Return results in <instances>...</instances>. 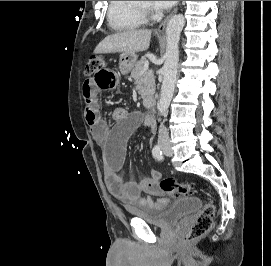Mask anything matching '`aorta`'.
Instances as JSON below:
<instances>
[{
  "instance_id": "1",
  "label": "aorta",
  "mask_w": 271,
  "mask_h": 266,
  "mask_svg": "<svg viewBox=\"0 0 271 266\" xmlns=\"http://www.w3.org/2000/svg\"><path fill=\"white\" fill-rule=\"evenodd\" d=\"M184 25L185 18L182 14L174 15L167 23L165 62L162 68L163 82L157 103V109L161 115L168 111L174 94L178 72L179 41Z\"/></svg>"
}]
</instances>
